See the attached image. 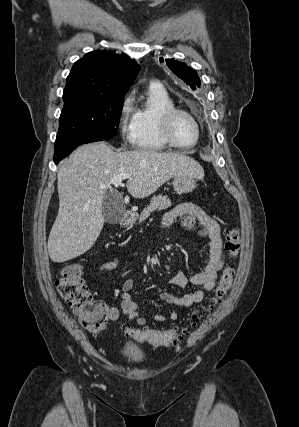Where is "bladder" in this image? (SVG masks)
Wrapping results in <instances>:
<instances>
[{"label": "bladder", "mask_w": 299, "mask_h": 427, "mask_svg": "<svg viewBox=\"0 0 299 427\" xmlns=\"http://www.w3.org/2000/svg\"><path fill=\"white\" fill-rule=\"evenodd\" d=\"M122 354L132 363L142 362L146 357L145 352L138 345L132 342L123 343Z\"/></svg>", "instance_id": "1"}]
</instances>
